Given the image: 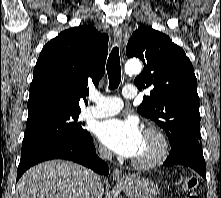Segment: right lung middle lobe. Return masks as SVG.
Wrapping results in <instances>:
<instances>
[{"mask_svg":"<svg viewBox=\"0 0 221 198\" xmlns=\"http://www.w3.org/2000/svg\"><path fill=\"white\" fill-rule=\"evenodd\" d=\"M80 112L59 113L44 116L26 123L22 150L43 140L51 138L84 139L89 136L84 124L78 123Z\"/></svg>","mask_w":221,"mask_h":198,"instance_id":"right-lung-middle-lobe-1","label":"right lung middle lobe"}]
</instances>
